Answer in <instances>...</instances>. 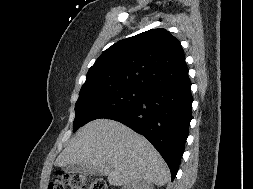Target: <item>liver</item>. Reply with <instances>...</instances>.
Masks as SVG:
<instances>
[{
    "instance_id": "obj_1",
    "label": "liver",
    "mask_w": 253,
    "mask_h": 189,
    "mask_svg": "<svg viewBox=\"0 0 253 189\" xmlns=\"http://www.w3.org/2000/svg\"><path fill=\"white\" fill-rule=\"evenodd\" d=\"M87 164L97 167L113 186L144 180L165 185L170 171L157 150L140 134L108 119H97L80 128L58 156L55 165Z\"/></svg>"
}]
</instances>
